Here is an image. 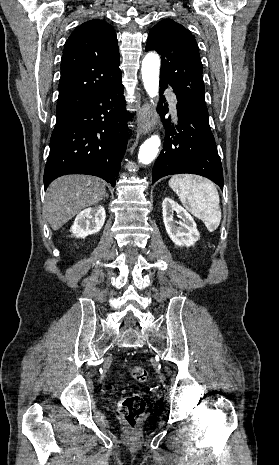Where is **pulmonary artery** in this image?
Wrapping results in <instances>:
<instances>
[{
    "label": "pulmonary artery",
    "mask_w": 279,
    "mask_h": 465,
    "mask_svg": "<svg viewBox=\"0 0 279 465\" xmlns=\"http://www.w3.org/2000/svg\"><path fill=\"white\" fill-rule=\"evenodd\" d=\"M168 99H169L171 110L174 113H176V101H175V98H174L173 94L169 93L168 94Z\"/></svg>",
    "instance_id": "pulmonary-artery-1"
}]
</instances>
